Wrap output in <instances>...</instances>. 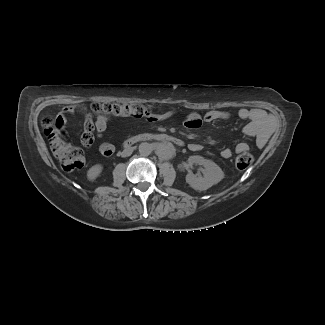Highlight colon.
<instances>
[{
  "label": "colon",
  "mask_w": 325,
  "mask_h": 325,
  "mask_svg": "<svg viewBox=\"0 0 325 325\" xmlns=\"http://www.w3.org/2000/svg\"><path fill=\"white\" fill-rule=\"evenodd\" d=\"M91 111L107 118H141L151 114V109L141 104L94 103ZM45 134L49 138L50 147L65 171L81 168L85 162V155L81 148L67 143L57 132L52 118L43 119ZM253 156L247 151L241 152L235 165L244 170L253 163Z\"/></svg>",
  "instance_id": "5ec220e1"
}]
</instances>
